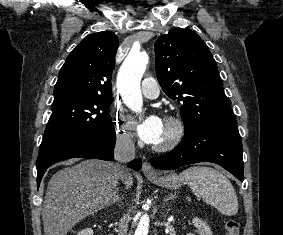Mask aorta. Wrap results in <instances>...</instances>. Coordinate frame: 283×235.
Instances as JSON below:
<instances>
[{
	"label": "aorta",
	"instance_id": "aorta-1",
	"mask_svg": "<svg viewBox=\"0 0 283 235\" xmlns=\"http://www.w3.org/2000/svg\"><path fill=\"white\" fill-rule=\"evenodd\" d=\"M148 61L149 56L146 52L131 51L118 72L117 88L124 103L135 112H140L142 109L140 82ZM149 221V215L143 214L134 235H148Z\"/></svg>",
	"mask_w": 283,
	"mask_h": 235
}]
</instances>
